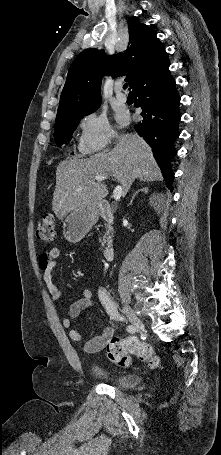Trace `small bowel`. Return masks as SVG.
<instances>
[{"label":"small bowel","mask_w":221,"mask_h":455,"mask_svg":"<svg viewBox=\"0 0 221 455\" xmlns=\"http://www.w3.org/2000/svg\"><path fill=\"white\" fill-rule=\"evenodd\" d=\"M59 254L60 251L58 247H51L42 251L38 259V267L41 272L43 282L45 283L51 298L54 300L59 299L61 296V290L53 279V270L56 267ZM66 288L73 289V286L67 283ZM92 297L93 294L90 289L82 290L80 298L70 306L68 316L62 320L63 327L69 330V337L73 341H80L82 339L81 332L72 328L73 321L83 310L93 305ZM113 333L114 329L112 326L106 327L101 335L91 338L84 344V351L87 353L101 351L106 346L108 340L112 338Z\"/></svg>","instance_id":"small-bowel-1"}]
</instances>
